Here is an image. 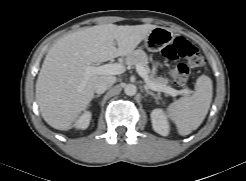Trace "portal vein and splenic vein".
<instances>
[{"instance_id": "portal-vein-and-splenic-vein-1", "label": "portal vein and splenic vein", "mask_w": 246, "mask_h": 181, "mask_svg": "<svg viewBox=\"0 0 246 181\" xmlns=\"http://www.w3.org/2000/svg\"><path fill=\"white\" fill-rule=\"evenodd\" d=\"M137 73L144 79L145 83L149 88H151L154 91H161L165 92L173 97H176L177 95H188L191 93L189 89H183V90H175L170 87L162 86L155 84L149 79V76L141 65L135 66ZM124 72V67L121 64L114 63V64H105L102 66H91L87 65L84 67V75L85 77H89L92 75H117Z\"/></svg>"}]
</instances>
